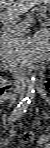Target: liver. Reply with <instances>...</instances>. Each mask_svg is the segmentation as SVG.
Instances as JSON below:
<instances>
[{"mask_svg":"<svg viewBox=\"0 0 50 148\" xmlns=\"http://www.w3.org/2000/svg\"><path fill=\"white\" fill-rule=\"evenodd\" d=\"M44 0H1V9L6 8L3 15L8 21H15L20 15L26 13L36 4Z\"/></svg>","mask_w":50,"mask_h":148,"instance_id":"liver-1","label":"liver"}]
</instances>
